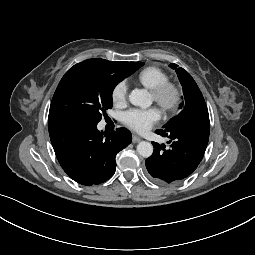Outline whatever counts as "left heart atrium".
Returning a JSON list of instances; mask_svg holds the SVG:
<instances>
[{"instance_id":"39dd6f15","label":"left heart atrium","mask_w":255,"mask_h":255,"mask_svg":"<svg viewBox=\"0 0 255 255\" xmlns=\"http://www.w3.org/2000/svg\"><path fill=\"white\" fill-rule=\"evenodd\" d=\"M161 117L160 111L155 108L130 109L122 116L123 123L130 129L143 133L148 131Z\"/></svg>"}]
</instances>
